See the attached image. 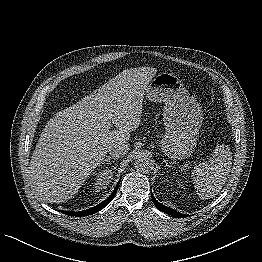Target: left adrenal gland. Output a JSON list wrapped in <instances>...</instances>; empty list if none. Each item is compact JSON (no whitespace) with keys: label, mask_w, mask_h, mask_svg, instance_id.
Here are the masks:
<instances>
[{"label":"left adrenal gland","mask_w":262,"mask_h":262,"mask_svg":"<svg viewBox=\"0 0 262 262\" xmlns=\"http://www.w3.org/2000/svg\"><path fill=\"white\" fill-rule=\"evenodd\" d=\"M163 162L165 163V167H169V168L173 167L172 165H169L168 162L165 159H163ZM172 164H174V163H172Z\"/></svg>","instance_id":"obj_1"}]
</instances>
